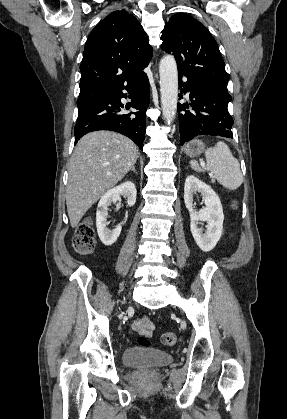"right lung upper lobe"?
I'll return each instance as SVG.
<instances>
[{
    "instance_id": "right-lung-upper-lobe-1",
    "label": "right lung upper lobe",
    "mask_w": 287,
    "mask_h": 419,
    "mask_svg": "<svg viewBox=\"0 0 287 419\" xmlns=\"http://www.w3.org/2000/svg\"><path fill=\"white\" fill-rule=\"evenodd\" d=\"M152 47L141 24L125 10L114 11L89 34L80 65L78 106L133 84L145 73Z\"/></svg>"
}]
</instances>
